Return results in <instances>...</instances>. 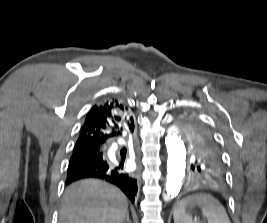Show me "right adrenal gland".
<instances>
[{"instance_id":"obj_1","label":"right adrenal gland","mask_w":267,"mask_h":223,"mask_svg":"<svg viewBox=\"0 0 267 223\" xmlns=\"http://www.w3.org/2000/svg\"><path fill=\"white\" fill-rule=\"evenodd\" d=\"M126 222L131 223L130 218H129V212H127L126 218L124 219L123 223H126Z\"/></svg>"}]
</instances>
